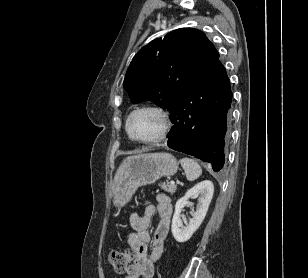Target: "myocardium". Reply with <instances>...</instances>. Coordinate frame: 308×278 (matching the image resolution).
Masks as SVG:
<instances>
[{"label": "myocardium", "instance_id": "1", "mask_svg": "<svg viewBox=\"0 0 308 278\" xmlns=\"http://www.w3.org/2000/svg\"><path fill=\"white\" fill-rule=\"evenodd\" d=\"M143 110H150V111L157 113L162 120L161 131L159 132V134L157 136L150 138V139L138 138L137 136H135L133 134V132L130 128V122H131L132 117L137 112H140V111H143ZM125 127H126V131H127L128 135L134 141L139 142V143H143V144H152V143H157V142L162 141L167 136V134L169 133L170 128H171V119H170L168 112L164 108H162L158 105L147 104V105L139 106V107L135 108L134 110H132L130 112V114L128 115V117L126 119Z\"/></svg>", "mask_w": 308, "mask_h": 278}]
</instances>
